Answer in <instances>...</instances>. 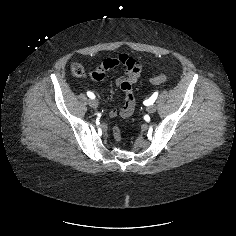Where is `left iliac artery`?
Here are the masks:
<instances>
[{
  "mask_svg": "<svg viewBox=\"0 0 236 236\" xmlns=\"http://www.w3.org/2000/svg\"><path fill=\"white\" fill-rule=\"evenodd\" d=\"M158 96V92H155L148 100L144 101L145 105H151L155 102L156 98Z\"/></svg>",
  "mask_w": 236,
  "mask_h": 236,
  "instance_id": "left-iliac-artery-1",
  "label": "left iliac artery"
}]
</instances>
